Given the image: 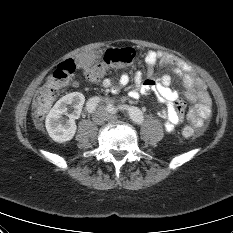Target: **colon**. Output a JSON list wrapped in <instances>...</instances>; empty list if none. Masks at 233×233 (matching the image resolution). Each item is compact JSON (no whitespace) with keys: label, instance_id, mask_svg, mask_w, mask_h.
Returning <instances> with one entry per match:
<instances>
[{"label":"colon","instance_id":"colon-1","mask_svg":"<svg viewBox=\"0 0 233 233\" xmlns=\"http://www.w3.org/2000/svg\"><path fill=\"white\" fill-rule=\"evenodd\" d=\"M135 58L132 48L108 49L103 61L89 65L85 69V76L90 81L100 80L108 69L130 64ZM76 70V64L68 59L57 66L46 83L39 89L34 100V114L42 119L49 111L61 87L68 81ZM203 127L188 125L183 128L185 138H194L202 134Z\"/></svg>","mask_w":233,"mask_h":233}]
</instances>
